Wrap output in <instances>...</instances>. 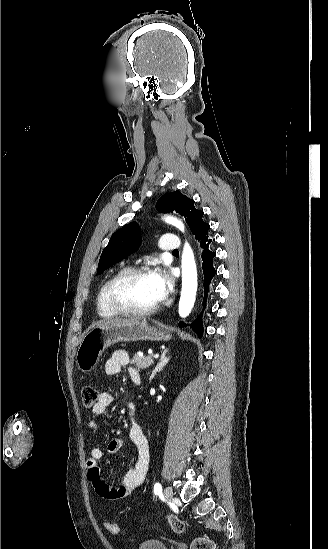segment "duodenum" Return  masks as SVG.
<instances>
[{"label":"duodenum","mask_w":328,"mask_h":549,"mask_svg":"<svg viewBox=\"0 0 328 549\" xmlns=\"http://www.w3.org/2000/svg\"><path fill=\"white\" fill-rule=\"evenodd\" d=\"M135 382H136L137 384H139V383H140V380H139V378H138V377H136V378H135Z\"/></svg>","instance_id":"1"}]
</instances>
